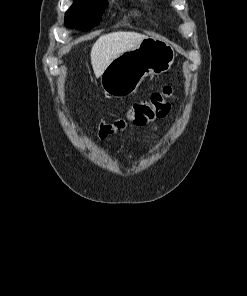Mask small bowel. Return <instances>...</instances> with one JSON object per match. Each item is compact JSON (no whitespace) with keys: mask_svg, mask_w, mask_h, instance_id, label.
<instances>
[{"mask_svg":"<svg viewBox=\"0 0 247 296\" xmlns=\"http://www.w3.org/2000/svg\"><path fill=\"white\" fill-rule=\"evenodd\" d=\"M156 130V127L155 128H153V129H151L150 131L152 132V131H155Z\"/></svg>","mask_w":247,"mask_h":296,"instance_id":"obj_1","label":"small bowel"}]
</instances>
